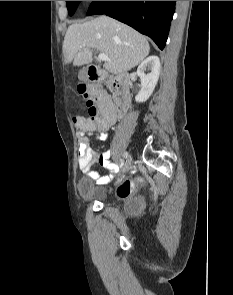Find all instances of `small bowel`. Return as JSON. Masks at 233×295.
Listing matches in <instances>:
<instances>
[{
    "label": "small bowel",
    "mask_w": 233,
    "mask_h": 295,
    "mask_svg": "<svg viewBox=\"0 0 233 295\" xmlns=\"http://www.w3.org/2000/svg\"><path fill=\"white\" fill-rule=\"evenodd\" d=\"M97 105L103 113V119L94 127L78 131V145H77V158L80 170L95 179L98 184H105L110 180V176H103L100 172L92 171V164L96 163L103 168L109 170L112 174L117 173L119 165L111 164L109 159L111 151L107 150L103 153H96L92 150L89 143V138L85 136L89 133L92 137L98 140H105L107 138V131L119 119V113L112 98L105 92H102L98 98Z\"/></svg>",
    "instance_id": "small-bowel-1"
}]
</instances>
